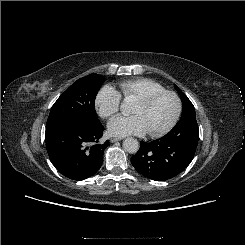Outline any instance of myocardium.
Listing matches in <instances>:
<instances>
[{
	"label": "myocardium",
	"instance_id": "f54148a6",
	"mask_svg": "<svg viewBox=\"0 0 245 245\" xmlns=\"http://www.w3.org/2000/svg\"><path fill=\"white\" fill-rule=\"evenodd\" d=\"M165 95H170V96L175 98V100H176V111H175V114H174L173 118L171 119V121L164 128L157 130V131L148 132V135H150L151 137L163 136V135L169 133L176 126L177 122L180 119L181 113H182L181 98L174 91L164 90V91L156 92V93H153L150 95L142 96L136 100V102H139L140 104L148 105V104H151L152 102H154L156 99H158L162 96H165Z\"/></svg>",
	"mask_w": 245,
	"mask_h": 245
}]
</instances>
